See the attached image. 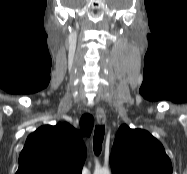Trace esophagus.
Masks as SVG:
<instances>
[{"label": "esophagus", "mask_w": 187, "mask_h": 174, "mask_svg": "<svg viewBox=\"0 0 187 174\" xmlns=\"http://www.w3.org/2000/svg\"><path fill=\"white\" fill-rule=\"evenodd\" d=\"M96 120L99 125H103L106 122V115L102 108L96 109Z\"/></svg>", "instance_id": "34e87169"}]
</instances>
